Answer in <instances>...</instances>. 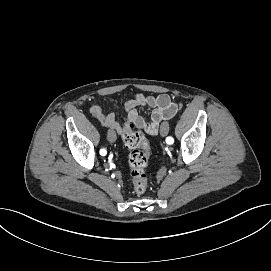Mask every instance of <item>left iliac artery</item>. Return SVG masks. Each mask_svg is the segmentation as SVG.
I'll return each mask as SVG.
<instances>
[{
	"label": "left iliac artery",
	"instance_id": "left-iliac-artery-1",
	"mask_svg": "<svg viewBox=\"0 0 271 271\" xmlns=\"http://www.w3.org/2000/svg\"><path fill=\"white\" fill-rule=\"evenodd\" d=\"M166 144H173V137H168L166 139Z\"/></svg>",
	"mask_w": 271,
	"mask_h": 271
}]
</instances>
